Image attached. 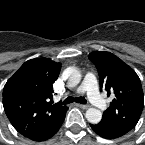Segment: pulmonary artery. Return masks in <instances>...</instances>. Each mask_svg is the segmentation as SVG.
<instances>
[{
    "label": "pulmonary artery",
    "instance_id": "pulmonary-artery-1",
    "mask_svg": "<svg viewBox=\"0 0 145 145\" xmlns=\"http://www.w3.org/2000/svg\"><path fill=\"white\" fill-rule=\"evenodd\" d=\"M78 91L86 92L89 101L97 108L106 107L105 99L100 95L97 78L94 72H88L85 75L82 84L78 87Z\"/></svg>",
    "mask_w": 145,
    "mask_h": 145
}]
</instances>
